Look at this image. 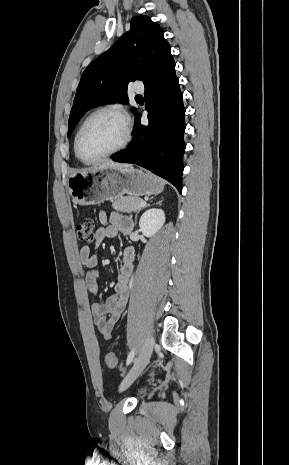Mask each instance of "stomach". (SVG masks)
Here are the masks:
<instances>
[{
	"label": "stomach",
	"mask_w": 289,
	"mask_h": 465,
	"mask_svg": "<svg viewBox=\"0 0 289 465\" xmlns=\"http://www.w3.org/2000/svg\"><path fill=\"white\" fill-rule=\"evenodd\" d=\"M67 187L76 204L88 206L113 201L124 194L135 197L159 194L164 184L158 177L133 167H107L72 174Z\"/></svg>",
	"instance_id": "stomach-1"
}]
</instances>
